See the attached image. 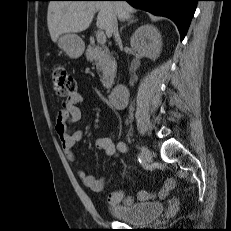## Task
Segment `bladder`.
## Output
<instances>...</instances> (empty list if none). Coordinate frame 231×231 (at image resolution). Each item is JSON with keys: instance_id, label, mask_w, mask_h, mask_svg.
<instances>
[{"instance_id": "obj_1", "label": "bladder", "mask_w": 231, "mask_h": 231, "mask_svg": "<svg viewBox=\"0 0 231 231\" xmlns=\"http://www.w3.org/2000/svg\"><path fill=\"white\" fill-rule=\"evenodd\" d=\"M163 210L164 205L161 202H132L108 208V212L118 221L136 225H145L153 222L160 217Z\"/></svg>"}]
</instances>
